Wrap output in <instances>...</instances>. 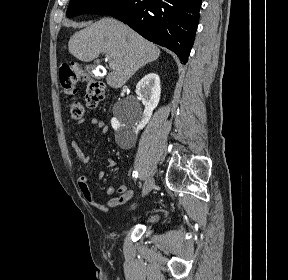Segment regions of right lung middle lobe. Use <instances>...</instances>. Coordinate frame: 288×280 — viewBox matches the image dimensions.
Returning <instances> with one entry per match:
<instances>
[{
  "label": "right lung middle lobe",
  "mask_w": 288,
  "mask_h": 280,
  "mask_svg": "<svg viewBox=\"0 0 288 280\" xmlns=\"http://www.w3.org/2000/svg\"><path fill=\"white\" fill-rule=\"evenodd\" d=\"M126 0H70L67 17L83 13L105 14L106 11L122 4Z\"/></svg>",
  "instance_id": "right-lung-middle-lobe-1"
}]
</instances>
